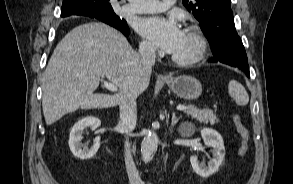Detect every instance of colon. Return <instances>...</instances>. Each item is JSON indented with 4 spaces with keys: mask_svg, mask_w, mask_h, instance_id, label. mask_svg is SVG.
I'll list each match as a JSON object with an SVG mask.
<instances>
[{
    "mask_svg": "<svg viewBox=\"0 0 293 184\" xmlns=\"http://www.w3.org/2000/svg\"><path fill=\"white\" fill-rule=\"evenodd\" d=\"M233 122L236 128V131L238 132L240 136L239 154L244 156L248 151L250 133L247 127L243 124L240 115L235 114L233 116Z\"/></svg>",
    "mask_w": 293,
    "mask_h": 184,
    "instance_id": "colon-1",
    "label": "colon"
}]
</instances>
